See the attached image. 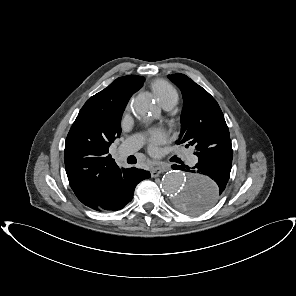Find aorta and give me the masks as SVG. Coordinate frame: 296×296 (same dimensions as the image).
Returning a JSON list of instances; mask_svg holds the SVG:
<instances>
[{"label":"aorta","mask_w":296,"mask_h":296,"mask_svg":"<svg viewBox=\"0 0 296 296\" xmlns=\"http://www.w3.org/2000/svg\"><path fill=\"white\" fill-rule=\"evenodd\" d=\"M133 111L141 118L149 117L156 109L148 94H141L132 102ZM162 190L180 210L202 213L210 210L218 200V187L208 176L177 170L167 172L161 182Z\"/></svg>","instance_id":"obj_1"}]
</instances>
